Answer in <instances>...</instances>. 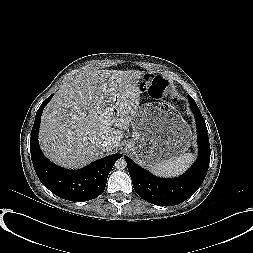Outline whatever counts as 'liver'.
<instances>
[{
	"instance_id": "6515ba94",
	"label": "liver",
	"mask_w": 253,
	"mask_h": 253,
	"mask_svg": "<svg viewBox=\"0 0 253 253\" xmlns=\"http://www.w3.org/2000/svg\"><path fill=\"white\" fill-rule=\"evenodd\" d=\"M138 70H83L65 82L45 107L39 132L54 163L81 168L117 150L139 105ZM106 138L113 140L108 148Z\"/></svg>"
}]
</instances>
